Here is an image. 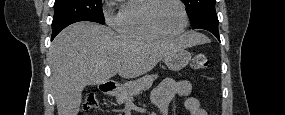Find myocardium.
<instances>
[{
	"label": "myocardium",
	"mask_w": 285,
	"mask_h": 115,
	"mask_svg": "<svg viewBox=\"0 0 285 115\" xmlns=\"http://www.w3.org/2000/svg\"><path fill=\"white\" fill-rule=\"evenodd\" d=\"M163 1H167V0H153L152 1L151 5L149 6L148 12H147L148 24L150 25V27L154 31L161 34L162 36L175 37V36H179V35L183 34L189 25V16H188L186 6L184 5V3L181 0H172L180 6V8L182 10L184 22H183V25H182L180 30H178L176 32H167L157 24V22L154 18V14H155V11H156L158 5Z\"/></svg>",
	"instance_id": "myocardium-1"
}]
</instances>
